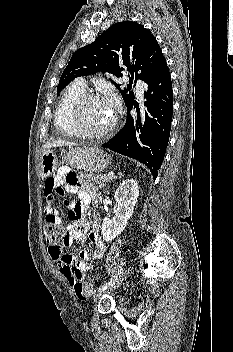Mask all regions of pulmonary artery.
<instances>
[{
  "mask_svg": "<svg viewBox=\"0 0 233 352\" xmlns=\"http://www.w3.org/2000/svg\"><path fill=\"white\" fill-rule=\"evenodd\" d=\"M75 83H77L78 85H80L83 88H86V82H85V80L83 78H78ZM143 92H144L143 83L141 81H138V84H137V94H138V96L142 97L143 96Z\"/></svg>",
  "mask_w": 233,
  "mask_h": 352,
  "instance_id": "pulmonary-artery-1",
  "label": "pulmonary artery"
}]
</instances>
